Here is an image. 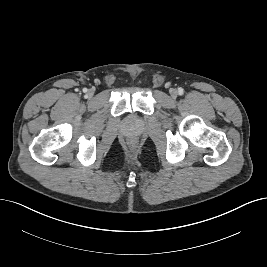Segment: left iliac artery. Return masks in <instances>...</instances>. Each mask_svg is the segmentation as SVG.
Instances as JSON below:
<instances>
[{"instance_id":"1","label":"left iliac artery","mask_w":267,"mask_h":267,"mask_svg":"<svg viewBox=\"0 0 267 267\" xmlns=\"http://www.w3.org/2000/svg\"><path fill=\"white\" fill-rule=\"evenodd\" d=\"M178 92H179L180 95L183 94V89L182 88H179L178 89Z\"/></svg>"}]
</instances>
